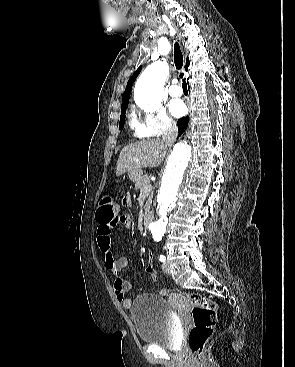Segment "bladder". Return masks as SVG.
<instances>
[{
	"label": "bladder",
	"instance_id": "obj_1",
	"mask_svg": "<svg viewBox=\"0 0 295 367\" xmlns=\"http://www.w3.org/2000/svg\"><path fill=\"white\" fill-rule=\"evenodd\" d=\"M131 318L142 342L163 348L177 344V326L164 297L152 293L137 296L131 305Z\"/></svg>",
	"mask_w": 295,
	"mask_h": 367
}]
</instances>
